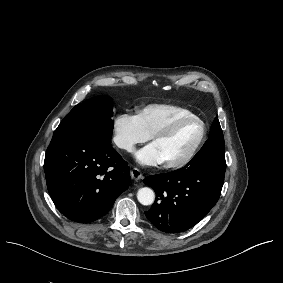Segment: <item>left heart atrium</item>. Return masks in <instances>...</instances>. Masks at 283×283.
<instances>
[{
	"label": "left heart atrium",
	"mask_w": 283,
	"mask_h": 283,
	"mask_svg": "<svg viewBox=\"0 0 283 283\" xmlns=\"http://www.w3.org/2000/svg\"><path fill=\"white\" fill-rule=\"evenodd\" d=\"M135 160L143 167H154L164 163L165 157L157 141H154L137 150Z\"/></svg>",
	"instance_id": "39dd6f15"
}]
</instances>
